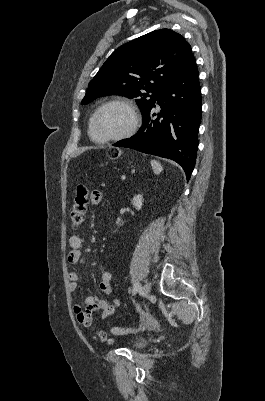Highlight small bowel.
<instances>
[{
  "label": "small bowel",
  "instance_id": "small-bowel-1",
  "mask_svg": "<svg viewBox=\"0 0 265 401\" xmlns=\"http://www.w3.org/2000/svg\"><path fill=\"white\" fill-rule=\"evenodd\" d=\"M102 201V193L99 191H93L90 194V203L92 205H99ZM82 238L79 235H71L69 238L70 251L67 255V260L70 264H77L81 259V247ZM70 280V290L74 291L77 288L79 274L77 271L69 272ZM112 273L110 271H103L99 277V289L105 294L109 295L112 292ZM86 309L82 308L80 305H75L73 311L77 317V320L86 328H91L92 326V314L99 310L101 312L100 316L102 320H107L112 314H114L116 308L118 307V301L109 303L107 300L100 298L98 296H88L85 299ZM97 337L101 342H108L109 336L104 331H98Z\"/></svg>",
  "mask_w": 265,
  "mask_h": 401
}]
</instances>
